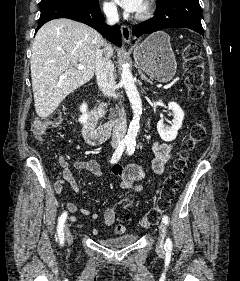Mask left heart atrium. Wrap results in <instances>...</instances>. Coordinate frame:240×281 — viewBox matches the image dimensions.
Instances as JSON below:
<instances>
[{
	"instance_id": "left-heart-atrium-1",
	"label": "left heart atrium",
	"mask_w": 240,
	"mask_h": 281,
	"mask_svg": "<svg viewBox=\"0 0 240 281\" xmlns=\"http://www.w3.org/2000/svg\"><path fill=\"white\" fill-rule=\"evenodd\" d=\"M128 12H138L143 8L144 0H115Z\"/></svg>"
}]
</instances>
